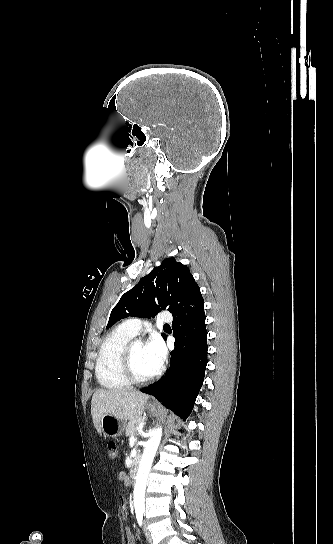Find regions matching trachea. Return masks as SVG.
I'll return each instance as SVG.
<instances>
[{
	"label": "trachea",
	"mask_w": 333,
	"mask_h": 544,
	"mask_svg": "<svg viewBox=\"0 0 333 544\" xmlns=\"http://www.w3.org/2000/svg\"><path fill=\"white\" fill-rule=\"evenodd\" d=\"M164 327H170V325H169V324H165Z\"/></svg>",
	"instance_id": "trachea-1"
}]
</instances>
